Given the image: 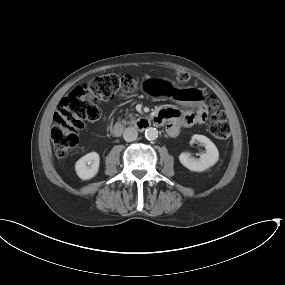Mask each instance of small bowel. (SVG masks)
<instances>
[{"label":"small bowel","instance_id":"small-bowel-1","mask_svg":"<svg viewBox=\"0 0 285 285\" xmlns=\"http://www.w3.org/2000/svg\"><path fill=\"white\" fill-rule=\"evenodd\" d=\"M157 116L163 118L165 131L170 136H175L180 128L188 126L192 122H201L206 119L205 112L198 108L194 111L181 112L171 105L163 106L157 113ZM194 119L190 120L189 117Z\"/></svg>","mask_w":285,"mask_h":285}]
</instances>
